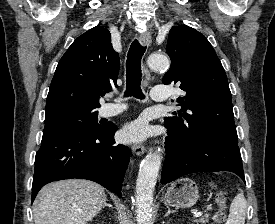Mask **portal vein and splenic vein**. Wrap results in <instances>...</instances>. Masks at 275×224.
<instances>
[{"label":"portal vein and splenic vein","mask_w":275,"mask_h":224,"mask_svg":"<svg viewBox=\"0 0 275 224\" xmlns=\"http://www.w3.org/2000/svg\"><path fill=\"white\" fill-rule=\"evenodd\" d=\"M201 215H202V212H200V211H196L194 213V217H200Z\"/></svg>","instance_id":"portal-vein-and-splenic-vein-1"}]
</instances>
